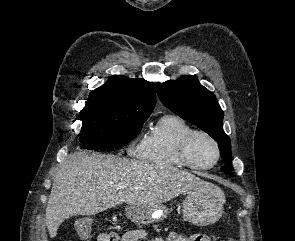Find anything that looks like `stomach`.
Here are the masks:
<instances>
[{
	"label": "stomach",
	"instance_id": "0dacf381",
	"mask_svg": "<svg viewBox=\"0 0 295 241\" xmlns=\"http://www.w3.org/2000/svg\"><path fill=\"white\" fill-rule=\"evenodd\" d=\"M224 203L222 190L208 183L207 186L188 193L182 206L183 219L196 226L213 224L221 218ZM125 211L128 218L137 224L160 222L168 215V208L160 204L129 205Z\"/></svg>",
	"mask_w": 295,
	"mask_h": 241
}]
</instances>
